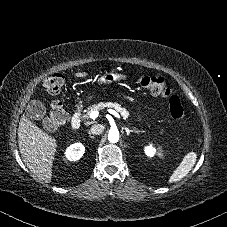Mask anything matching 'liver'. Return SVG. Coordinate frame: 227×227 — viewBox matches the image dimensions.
<instances>
[{
	"mask_svg": "<svg viewBox=\"0 0 227 227\" xmlns=\"http://www.w3.org/2000/svg\"><path fill=\"white\" fill-rule=\"evenodd\" d=\"M87 75L85 72L74 74L77 78ZM18 145L27 168L39 180L50 183L57 149L56 139L31 122L26 115H22L18 128Z\"/></svg>",
	"mask_w": 227,
	"mask_h": 227,
	"instance_id": "6515ba94",
	"label": "liver"
}]
</instances>
